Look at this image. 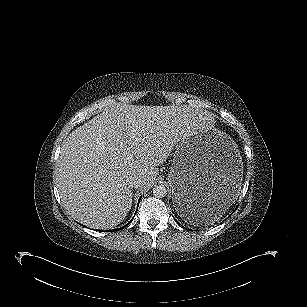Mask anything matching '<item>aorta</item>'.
<instances>
[{"label":"aorta","mask_w":307,"mask_h":307,"mask_svg":"<svg viewBox=\"0 0 307 307\" xmlns=\"http://www.w3.org/2000/svg\"><path fill=\"white\" fill-rule=\"evenodd\" d=\"M153 195L156 198H163L167 195V189L164 185H156L153 187Z\"/></svg>","instance_id":"1"}]
</instances>
